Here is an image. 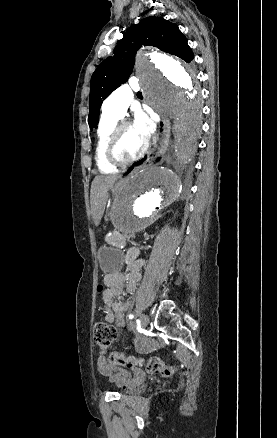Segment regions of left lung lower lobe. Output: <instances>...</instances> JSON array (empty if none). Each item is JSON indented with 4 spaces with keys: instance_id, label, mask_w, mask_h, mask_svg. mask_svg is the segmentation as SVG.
Here are the masks:
<instances>
[{
    "instance_id": "1",
    "label": "left lung lower lobe",
    "mask_w": 277,
    "mask_h": 438,
    "mask_svg": "<svg viewBox=\"0 0 277 438\" xmlns=\"http://www.w3.org/2000/svg\"><path fill=\"white\" fill-rule=\"evenodd\" d=\"M143 162V160H141V161H139V162H137V163H135L127 172H126V174H128L133 168H134V166H137V165H139V164H141Z\"/></svg>"
}]
</instances>
